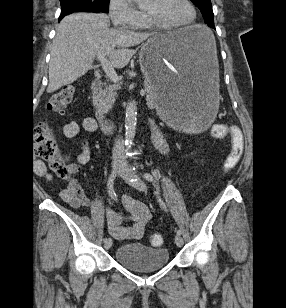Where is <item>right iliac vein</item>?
Wrapping results in <instances>:
<instances>
[{
    "label": "right iliac vein",
    "instance_id": "63e3f726",
    "mask_svg": "<svg viewBox=\"0 0 286 308\" xmlns=\"http://www.w3.org/2000/svg\"><path fill=\"white\" fill-rule=\"evenodd\" d=\"M118 169H119V164L116 161V159H114V161H113V171H115L117 173ZM111 246H112V240H111V238H108L104 242V247H105V249H109Z\"/></svg>",
    "mask_w": 286,
    "mask_h": 308
}]
</instances>
